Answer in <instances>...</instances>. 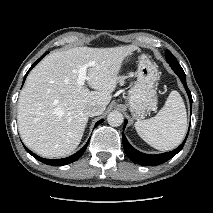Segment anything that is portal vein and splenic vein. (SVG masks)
I'll use <instances>...</instances> for the list:
<instances>
[{
	"mask_svg": "<svg viewBox=\"0 0 213 213\" xmlns=\"http://www.w3.org/2000/svg\"><path fill=\"white\" fill-rule=\"evenodd\" d=\"M93 65H94V63L90 62L86 65L81 66L78 69V71H77V73H78V78H77L78 85H81V86L84 85L85 80H87V74H86L87 68L90 67V66H93Z\"/></svg>",
	"mask_w": 213,
	"mask_h": 213,
	"instance_id": "1",
	"label": "portal vein and splenic vein"
}]
</instances>
